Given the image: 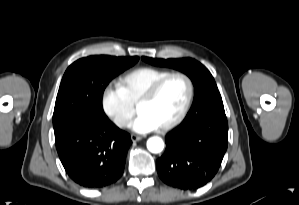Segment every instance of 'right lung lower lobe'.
I'll return each instance as SVG.
<instances>
[{"label": "right lung lower lobe", "mask_w": 299, "mask_h": 205, "mask_svg": "<svg viewBox=\"0 0 299 205\" xmlns=\"http://www.w3.org/2000/svg\"><path fill=\"white\" fill-rule=\"evenodd\" d=\"M58 155L67 174L86 188H102L123 174L130 135L108 118L85 116L55 133Z\"/></svg>", "instance_id": "right-lung-lower-lobe-1"}]
</instances>
